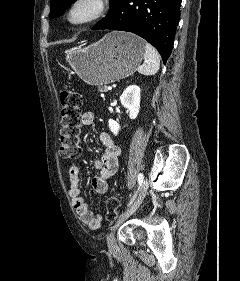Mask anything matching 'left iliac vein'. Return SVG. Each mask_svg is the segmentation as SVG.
Instances as JSON below:
<instances>
[{"label":"left iliac vein","instance_id":"4c4485c4","mask_svg":"<svg viewBox=\"0 0 240 281\" xmlns=\"http://www.w3.org/2000/svg\"><path fill=\"white\" fill-rule=\"evenodd\" d=\"M148 187H149V183H148L147 179H145L141 185V189L139 191V195H138L136 201L124 213H122L119 216L116 223L112 226L111 232L107 237V244H108L109 250L112 253H115L117 251V244H116L115 237H114L115 231L126 219H128L139 208L140 204L142 203L143 199L145 198Z\"/></svg>","mask_w":240,"mask_h":281}]
</instances>
